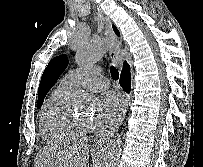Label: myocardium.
Masks as SVG:
<instances>
[{"mask_svg":"<svg viewBox=\"0 0 203 167\" xmlns=\"http://www.w3.org/2000/svg\"><path fill=\"white\" fill-rule=\"evenodd\" d=\"M73 126L79 134H84L91 129V121L83 117L73 116Z\"/></svg>","mask_w":203,"mask_h":167,"instance_id":"obj_1","label":"myocardium"}]
</instances>
